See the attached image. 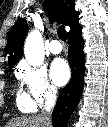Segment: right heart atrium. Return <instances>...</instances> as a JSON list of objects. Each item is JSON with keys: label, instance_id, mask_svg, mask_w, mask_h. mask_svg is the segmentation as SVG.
Masks as SVG:
<instances>
[{"label": "right heart atrium", "instance_id": "1", "mask_svg": "<svg viewBox=\"0 0 108 127\" xmlns=\"http://www.w3.org/2000/svg\"><path fill=\"white\" fill-rule=\"evenodd\" d=\"M18 77L28 90L35 105L41 106L56 98L57 89L49 80L44 68L23 63L18 68Z\"/></svg>", "mask_w": 108, "mask_h": 127}]
</instances>
